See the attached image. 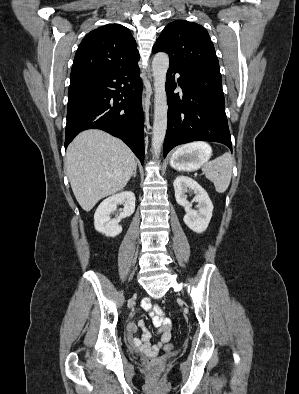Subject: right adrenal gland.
I'll return each mask as SVG.
<instances>
[{"mask_svg": "<svg viewBox=\"0 0 299 394\" xmlns=\"http://www.w3.org/2000/svg\"><path fill=\"white\" fill-rule=\"evenodd\" d=\"M136 174H137V167H135L134 172H133V177L136 178Z\"/></svg>", "mask_w": 299, "mask_h": 394, "instance_id": "2a0ac1e0", "label": "right adrenal gland"}]
</instances>
